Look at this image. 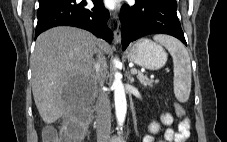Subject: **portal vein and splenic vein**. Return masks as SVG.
Here are the masks:
<instances>
[{"mask_svg":"<svg viewBox=\"0 0 227 142\" xmlns=\"http://www.w3.org/2000/svg\"><path fill=\"white\" fill-rule=\"evenodd\" d=\"M131 73L134 74V75L137 74V73H138V74H141V73L138 72L136 69H132V70H131Z\"/></svg>","mask_w":227,"mask_h":142,"instance_id":"1","label":"portal vein and splenic vein"}]
</instances>
